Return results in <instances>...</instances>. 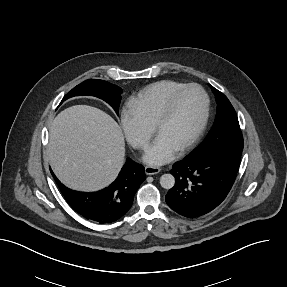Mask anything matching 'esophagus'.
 Here are the masks:
<instances>
[{
  "instance_id": "esophagus-1",
  "label": "esophagus",
  "mask_w": 287,
  "mask_h": 287,
  "mask_svg": "<svg viewBox=\"0 0 287 287\" xmlns=\"http://www.w3.org/2000/svg\"><path fill=\"white\" fill-rule=\"evenodd\" d=\"M161 171V169L159 167H155V166H146L145 167V173L147 175H155L158 174Z\"/></svg>"
}]
</instances>
